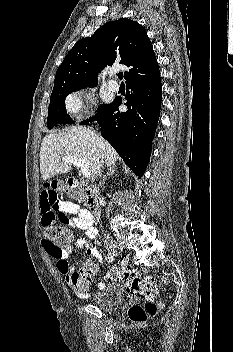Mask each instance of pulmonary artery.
<instances>
[{
	"label": "pulmonary artery",
	"instance_id": "1",
	"mask_svg": "<svg viewBox=\"0 0 233 352\" xmlns=\"http://www.w3.org/2000/svg\"><path fill=\"white\" fill-rule=\"evenodd\" d=\"M108 86L112 91H118L120 85L116 80H110Z\"/></svg>",
	"mask_w": 233,
	"mask_h": 352
}]
</instances>
